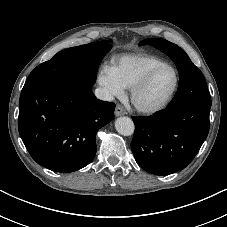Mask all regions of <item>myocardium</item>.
<instances>
[{
	"label": "myocardium",
	"mask_w": 227,
	"mask_h": 227,
	"mask_svg": "<svg viewBox=\"0 0 227 227\" xmlns=\"http://www.w3.org/2000/svg\"><path fill=\"white\" fill-rule=\"evenodd\" d=\"M170 68L174 71L175 73V85L174 88L172 89L171 93L169 96L159 105L154 106V107H143L139 105L136 101V98L138 94L147 86V84L151 81V79L161 70ZM180 86V74L177 68L169 63L159 65L153 69H151L149 72H147L139 81H137L131 88H130V95H129V100L133 108L145 115H152L159 113L163 110H165L173 101L175 98L177 91Z\"/></svg>",
	"instance_id": "1"
}]
</instances>
